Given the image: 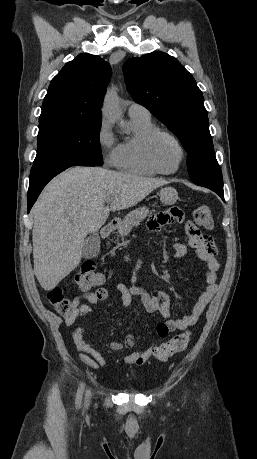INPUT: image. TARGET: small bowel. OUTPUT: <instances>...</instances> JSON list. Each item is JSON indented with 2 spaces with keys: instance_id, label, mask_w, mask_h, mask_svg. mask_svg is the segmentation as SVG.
<instances>
[{
  "instance_id": "small-bowel-1",
  "label": "small bowel",
  "mask_w": 257,
  "mask_h": 459,
  "mask_svg": "<svg viewBox=\"0 0 257 459\" xmlns=\"http://www.w3.org/2000/svg\"><path fill=\"white\" fill-rule=\"evenodd\" d=\"M183 222L181 234L184 236V243L175 242L172 246L171 255L174 260L183 258L190 250L204 264L205 271L203 279L205 286L201 293L196 298L190 313L180 319H170L171 316V300L166 291H158L155 294H150L147 291L137 287L133 280L130 287L119 284L118 291L121 294L122 307L130 306L132 298L137 296L141 300L144 308L149 313H159L166 322L157 325V334L161 338H165L170 332L182 331L194 325L201 314L204 312L208 303L212 299L217 290V271L219 263L217 261V248L206 236H203L195 229L193 220H186L185 208H178L177 205H160L159 211H156V217H147L146 224L149 229H169L171 226H180ZM124 263L130 262L129 256L123 257ZM103 292L104 297H100L99 293ZM108 292L105 288H98L95 291H84L82 294L74 297L73 302L76 304L75 310L65 316L63 322L66 326H71L81 317L92 311V306L98 305L105 300ZM73 343L78 350L79 359L91 367L99 369L108 365L103 355L88 344L84 339V328L78 326L72 333ZM135 337L128 334L122 341H114L110 343V348L114 351L130 349L134 346ZM154 347L150 346L145 349H139L126 355L123 361L129 365H142L153 354Z\"/></svg>"
}]
</instances>
